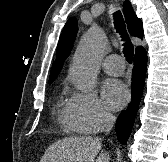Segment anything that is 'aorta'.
<instances>
[{
    "label": "aorta",
    "instance_id": "762f6f07",
    "mask_svg": "<svg viewBox=\"0 0 168 162\" xmlns=\"http://www.w3.org/2000/svg\"><path fill=\"white\" fill-rule=\"evenodd\" d=\"M105 45V33L97 25L91 26L82 37L70 71L71 78L79 90L90 92L93 89Z\"/></svg>",
    "mask_w": 168,
    "mask_h": 162
}]
</instances>
